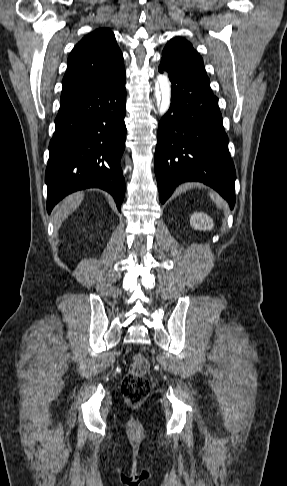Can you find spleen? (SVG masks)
Segmentation results:
<instances>
[{
    "mask_svg": "<svg viewBox=\"0 0 287 486\" xmlns=\"http://www.w3.org/2000/svg\"><path fill=\"white\" fill-rule=\"evenodd\" d=\"M209 196L214 201V203H216V206L218 208H222L225 206V202L223 201V199L216 193L210 191Z\"/></svg>",
    "mask_w": 287,
    "mask_h": 486,
    "instance_id": "spleen-1",
    "label": "spleen"
}]
</instances>
